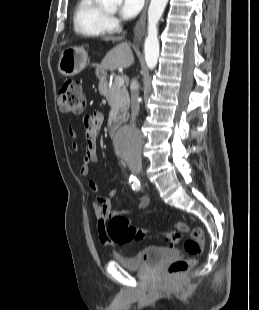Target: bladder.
I'll return each instance as SVG.
<instances>
[{"mask_svg": "<svg viewBox=\"0 0 259 310\" xmlns=\"http://www.w3.org/2000/svg\"><path fill=\"white\" fill-rule=\"evenodd\" d=\"M176 256L177 251L173 248L148 246L133 256H119L116 260L125 269L140 270L152 268Z\"/></svg>", "mask_w": 259, "mask_h": 310, "instance_id": "obj_1", "label": "bladder"}]
</instances>
